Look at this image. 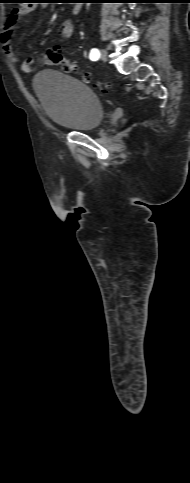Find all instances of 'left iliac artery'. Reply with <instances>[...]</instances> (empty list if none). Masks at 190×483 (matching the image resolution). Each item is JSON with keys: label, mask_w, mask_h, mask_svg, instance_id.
Returning a JSON list of instances; mask_svg holds the SVG:
<instances>
[{"label": "left iliac artery", "mask_w": 190, "mask_h": 483, "mask_svg": "<svg viewBox=\"0 0 190 483\" xmlns=\"http://www.w3.org/2000/svg\"><path fill=\"white\" fill-rule=\"evenodd\" d=\"M99 57H100L99 50L96 49V48H93L90 52V59L95 61V60L99 59Z\"/></svg>", "instance_id": "obj_1"}]
</instances>
